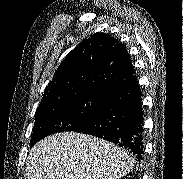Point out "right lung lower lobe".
I'll list each match as a JSON object with an SVG mask.
<instances>
[{
    "label": "right lung lower lobe",
    "instance_id": "98d812e1",
    "mask_svg": "<svg viewBox=\"0 0 183 179\" xmlns=\"http://www.w3.org/2000/svg\"><path fill=\"white\" fill-rule=\"evenodd\" d=\"M143 123L142 92L137 78L131 75L106 89L95 115L75 132L113 142L141 159Z\"/></svg>",
    "mask_w": 183,
    "mask_h": 179
}]
</instances>
